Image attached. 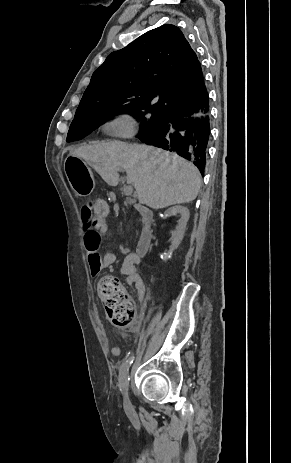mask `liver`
<instances>
[{
  "instance_id": "obj_1",
  "label": "liver",
  "mask_w": 291,
  "mask_h": 463,
  "mask_svg": "<svg viewBox=\"0 0 291 463\" xmlns=\"http://www.w3.org/2000/svg\"><path fill=\"white\" fill-rule=\"evenodd\" d=\"M70 156L84 160L110 186L118 185V171L125 170L139 203L152 209L192 202L201 185L192 163L153 146L100 142L74 149Z\"/></svg>"
}]
</instances>
